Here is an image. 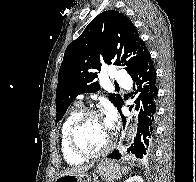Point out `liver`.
<instances>
[{
    "label": "liver",
    "instance_id": "1",
    "mask_svg": "<svg viewBox=\"0 0 196 182\" xmlns=\"http://www.w3.org/2000/svg\"><path fill=\"white\" fill-rule=\"evenodd\" d=\"M93 167V164L87 165V166H79V167H72L65 171L63 175H81L85 174L90 168Z\"/></svg>",
    "mask_w": 196,
    "mask_h": 182
}]
</instances>
